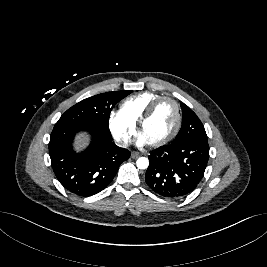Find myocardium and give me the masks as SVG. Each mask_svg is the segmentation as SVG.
Instances as JSON below:
<instances>
[{"label":"myocardium","instance_id":"myocardium-1","mask_svg":"<svg viewBox=\"0 0 267 267\" xmlns=\"http://www.w3.org/2000/svg\"><path fill=\"white\" fill-rule=\"evenodd\" d=\"M166 101L171 102L173 104V106L175 108V113H176V121H175L173 129L166 137H164L163 139H161L157 142L150 143V145L154 146V147H160V146H163V145L169 143L177 135V133L181 127V122H182V115H181V109H180L179 103L171 97L161 96L158 99L154 100L148 106V108L143 113V115L141 116V118L139 119V121L137 123V131L140 134L143 126L152 117V115L154 114V112L156 111L158 106L160 104H162L163 102H166Z\"/></svg>","mask_w":267,"mask_h":267}]
</instances>
